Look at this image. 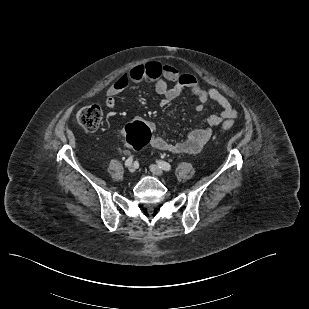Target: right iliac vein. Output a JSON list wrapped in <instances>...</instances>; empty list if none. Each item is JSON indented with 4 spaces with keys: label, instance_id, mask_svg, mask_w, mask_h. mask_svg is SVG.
<instances>
[{
    "label": "right iliac vein",
    "instance_id": "right-iliac-vein-1",
    "mask_svg": "<svg viewBox=\"0 0 309 309\" xmlns=\"http://www.w3.org/2000/svg\"><path fill=\"white\" fill-rule=\"evenodd\" d=\"M130 173H134L136 171V166L134 164L130 165L128 168Z\"/></svg>",
    "mask_w": 309,
    "mask_h": 309
}]
</instances>
